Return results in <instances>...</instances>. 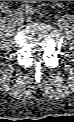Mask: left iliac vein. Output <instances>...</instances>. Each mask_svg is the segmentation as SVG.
Returning a JSON list of instances; mask_svg holds the SVG:
<instances>
[{
  "label": "left iliac vein",
  "instance_id": "4c4485c4",
  "mask_svg": "<svg viewBox=\"0 0 74 122\" xmlns=\"http://www.w3.org/2000/svg\"><path fill=\"white\" fill-rule=\"evenodd\" d=\"M22 7V6H21ZM20 7V8H21ZM22 17L23 20L27 21V22H31L33 20V18L31 16H28L26 14H24L23 9L21 8V10L18 12Z\"/></svg>",
  "mask_w": 74,
  "mask_h": 122
}]
</instances>
